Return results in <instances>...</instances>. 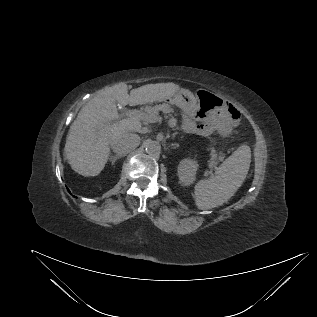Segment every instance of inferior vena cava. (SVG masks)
<instances>
[{
  "label": "inferior vena cava",
  "instance_id": "602c4592",
  "mask_svg": "<svg viewBox=\"0 0 317 317\" xmlns=\"http://www.w3.org/2000/svg\"><path fill=\"white\" fill-rule=\"evenodd\" d=\"M140 143V138L136 134H127L120 139H117L111 144L113 151L120 155L125 156L130 151L135 149Z\"/></svg>",
  "mask_w": 317,
  "mask_h": 317
}]
</instances>
